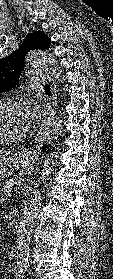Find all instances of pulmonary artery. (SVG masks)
Instances as JSON below:
<instances>
[{
  "label": "pulmonary artery",
  "instance_id": "pulmonary-artery-1",
  "mask_svg": "<svg viewBox=\"0 0 113 279\" xmlns=\"http://www.w3.org/2000/svg\"><path fill=\"white\" fill-rule=\"evenodd\" d=\"M48 81V76L45 74H42L40 72H35L32 76L31 84L37 85V84H43Z\"/></svg>",
  "mask_w": 113,
  "mask_h": 279
}]
</instances>
